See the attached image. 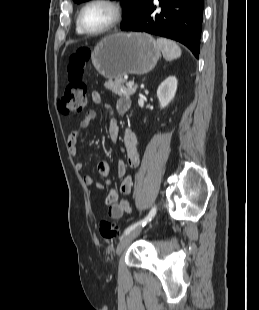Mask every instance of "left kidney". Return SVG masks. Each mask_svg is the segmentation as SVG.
Segmentation results:
<instances>
[{
    "instance_id": "obj_1",
    "label": "left kidney",
    "mask_w": 259,
    "mask_h": 310,
    "mask_svg": "<svg viewBox=\"0 0 259 310\" xmlns=\"http://www.w3.org/2000/svg\"><path fill=\"white\" fill-rule=\"evenodd\" d=\"M177 78L169 76L166 78L157 89V97L161 108H165L174 98L177 91Z\"/></svg>"
}]
</instances>
